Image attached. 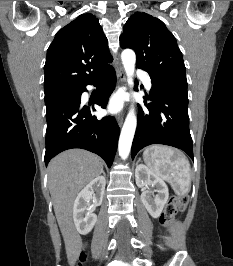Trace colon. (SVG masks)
<instances>
[{
  "mask_svg": "<svg viewBox=\"0 0 233 266\" xmlns=\"http://www.w3.org/2000/svg\"><path fill=\"white\" fill-rule=\"evenodd\" d=\"M188 204V198L182 195H171L167 201L165 206V210L163 216L161 218L162 223L168 225L174 219V216L183 211ZM86 261V254L85 252H80L73 257V263L75 266H83L84 262Z\"/></svg>",
  "mask_w": 233,
  "mask_h": 266,
  "instance_id": "colon-1",
  "label": "colon"
}]
</instances>
